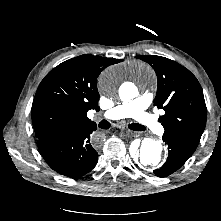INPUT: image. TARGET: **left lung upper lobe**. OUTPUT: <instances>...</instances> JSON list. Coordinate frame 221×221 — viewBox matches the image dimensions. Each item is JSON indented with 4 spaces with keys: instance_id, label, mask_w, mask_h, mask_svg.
Returning a JSON list of instances; mask_svg holds the SVG:
<instances>
[{
    "instance_id": "obj_1",
    "label": "left lung upper lobe",
    "mask_w": 221,
    "mask_h": 221,
    "mask_svg": "<svg viewBox=\"0 0 221 221\" xmlns=\"http://www.w3.org/2000/svg\"><path fill=\"white\" fill-rule=\"evenodd\" d=\"M149 63L157 74L154 105L165 114L160 122L163 136H174L198 145L207 119L202 88L196 77L185 67L165 57L137 55Z\"/></svg>"
}]
</instances>
